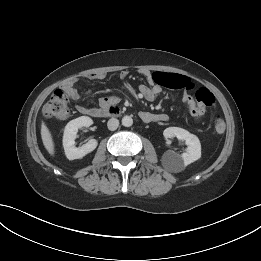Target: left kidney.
Masks as SVG:
<instances>
[{
  "mask_svg": "<svg viewBox=\"0 0 261 261\" xmlns=\"http://www.w3.org/2000/svg\"><path fill=\"white\" fill-rule=\"evenodd\" d=\"M165 138H178L187 144L186 152L182 155L174 151H166L162 156L163 164L172 170H180L201 157V144L196 135L189 133L187 130L179 127H168L164 130Z\"/></svg>",
  "mask_w": 261,
  "mask_h": 261,
  "instance_id": "left-kidney-1",
  "label": "left kidney"
}]
</instances>
